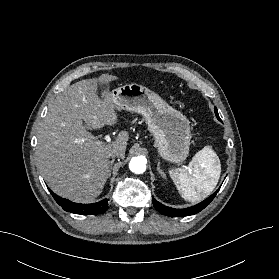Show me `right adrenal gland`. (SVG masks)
Segmentation results:
<instances>
[{"instance_id": "1", "label": "right adrenal gland", "mask_w": 279, "mask_h": 279, "mask_svg": "<svg viewBox=\"0 0 279 279\" xmlns=\"http://www.w3.org/2000/svg\"><path fill=\"white\" fill-rule=\"evenodd\" d=\"M114 161H115L114 158L110 161L111 167H110V170H109V176H111V169H112V165H113Z\"/></svg>"}]
</instances>
